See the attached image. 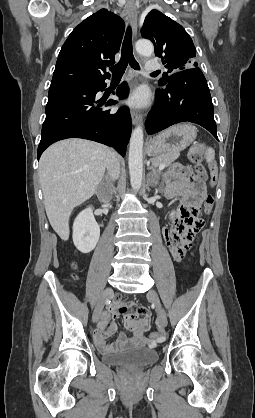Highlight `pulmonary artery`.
Instances as JSON below:
<instances>
[{"instance_id":"e3ab8cb5","label":"pulmonary artery","mask_w":255,"mask_h":418,"mask_svg":"<svg viewBox=\"0 0 255 418\" xmlns=\"http://www.w3.org/2000/svg\"><path fill=\"white\" fill-rule=\"evenodd\" d=\"M145 68L147 71L152 72L160 68L158 61L151 59L146 62Z\"/></svg>"}]
</instances>
